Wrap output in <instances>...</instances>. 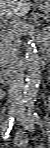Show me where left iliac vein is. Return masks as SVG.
<instances>
[{
    "mask_svg": "<svg viewBox=\"0 0 50 148\" xmlns=\"http://www.w3.org/2000/svg\"><path fill=\"white\" fill-rule=\"evenodd\" d=\"M17 118L27 130H34V123L31 120L29 114L25 111L23 106H19L17 110Z\"/></svg>",
    "mask_w": 50,
    "mask_h": 148,
    "instance_id": "1",
    "label": "left iliac vein"
}]
</instances>
